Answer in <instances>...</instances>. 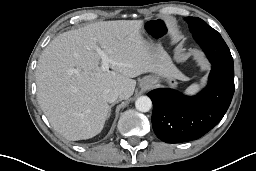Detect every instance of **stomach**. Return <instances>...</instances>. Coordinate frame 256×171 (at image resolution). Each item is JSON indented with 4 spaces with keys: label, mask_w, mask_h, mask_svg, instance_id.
<instances>
[{
    "label": "stomach",
    "mask_w": 256,
    "mask_h": 171,
    "mask_svg": "<svg viewBox=\"0 0 256 171\" xmlns=\"http://www.w3.org/2000/svg\"><path fill=\"white\" fill-rule=\"evenodd\" d=\"M146 42L153 56V64L156 66V69L152 72V75L146 76L144 80H149L152 85H156L163 80L171 87H176L177 81L170 73L172 65L169 56L160 44L154 43L151 39L146 40Z\"/></svg>",
    "instance_id": "1"
}]
</instances>
